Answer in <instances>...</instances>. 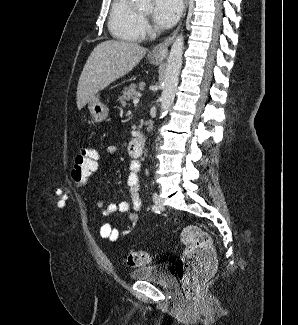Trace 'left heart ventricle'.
I'll return each mask as SVG.
<instances>
[{
  "instance_id": "left-heart-ventricle-1",
  "label": "left heart ventricle",
  "mask_w": 298,
  "mask_h": 325,
  "mask_svg": "<svg viewBox=\"0 0 298 325\" xmlns=\"http://www.w3.org/2000/svg\"><path fill=\"white\" fill-rule=\"evenodd\" d=\"M140 5V8L144 11V12H149L151 10V2L150 1H145V0H142L140 1L139 3Z\"/></svg>"
}]
</instances>
